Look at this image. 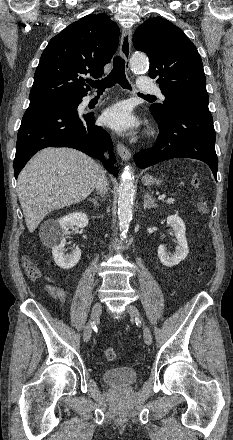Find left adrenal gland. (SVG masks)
<instances>
[{
    "instance_id": "obj_1",
    "label": "left adrenal gland",
    "mask_w": 233,
    "mask_h": 440,
    "mask_svg": "<svg viewBox=\"0 0 233 440\" xmlns=\"http://www.w3.org/2000/svg\"><path fill=\"white\" fill-rule=\"evenodd\" d=\"M143 207L144 209H151L158 207V205L154 202V199L148 192L144 195Z\"/></svg>"
}]
</instances>
